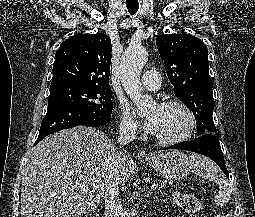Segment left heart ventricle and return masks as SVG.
I'll return each instance as SVG.
<instances>
[{
  "mask_svg": "<svg viewBox=\"0 0 255 217\" xmlns=\"http://www.w3.org/2000/svg\"><path fill=\"white\" fill-rule=\"evenodd\" d=\"M156 110H158V124L155 135L169 138L178 136L185 131L188 118L181 108L160 106L152 109L150 114Z\"/></svg>",
  "mask_w": 255,
  "mask_h": 217,
  "instance_id": "1",
  "label": "left heart ventricle"
}]
</instances>
